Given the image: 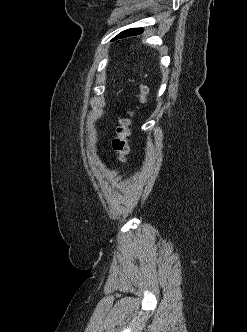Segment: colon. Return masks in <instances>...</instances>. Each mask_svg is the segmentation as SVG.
Segmentation results:
<instances>
[{
	"instance_id": "1",
	"label": "colon",
	"mask_w": 247,
	"mask_h": 332,
	"mask_svg": "<svg viewBox=\"0 0 247 332\" xmlns=\"http://www.w3.org/2000/svg\"><path fill=\"white\" fill-rule=\"evenodd\" d=\"M149 93V87L145 83H141L138 86V92L136 94V102L144 103ZM137 106L127 108L126 116L122 117L118 121L116 127V136L112 140V149L117 155L118 161L124 163L129 153L128 137L131 134L132 121L131 117L134 116Z\"/></svg>"
}]
</instances>
